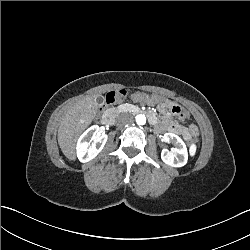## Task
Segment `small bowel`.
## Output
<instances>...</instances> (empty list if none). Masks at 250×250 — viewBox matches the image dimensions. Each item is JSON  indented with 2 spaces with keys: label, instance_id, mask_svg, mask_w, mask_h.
Here are the masks:
<instances>
[{
  "label": "small bowel",
  "instance_id": "c3829d8e",
  "mask_svg": "<svg viewBox=\"0 0 250 250\" xmlns=\"http://www.w3.org/2000/svg\"><path fill=\"white\" fill-rule=\"evenodd\" d=\"M133 98L135 100H142V99H138L139 98V93H136L133 95ZM163 105H165V107L162 106V109H165V110H169L171 111L172 113L176 114L179 118H180V114H183L184 115V119L182 120H185L188 118V113L186 111H184L183 109H181L179 106H176L174 104H172L171 102H163ZM178 108L180 110V113H176L175 112V109ZM148 118L151 119V120H155L153 114H149L148 115ZM181 119V118H180ZM161 122H157V125H160ZM169 127L173 130V131H176V132H182L183 131V127L177 123H170L169 124ZM198 131H197V128L192 125L190 126L188 129H187V134L188 136H195L197 135Z\"/></svg>",
  "mask_w": 250,
  "mask_h": 250
}]
</instances>
